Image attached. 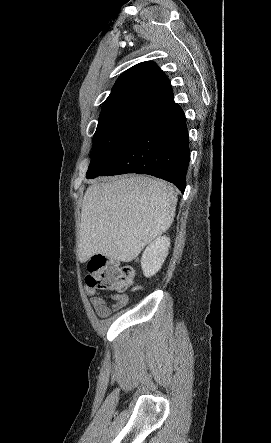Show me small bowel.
Returning <instances> with one entry per match:
<instances>
[{"mask_svg": "<svg viewBox=\"0 0 271 443\" xmlns=\"http://www.w3.org/2000/svg\"><path fill=\"white\" fill-rule=\"evenodd\" d=\"M84 290L87 295L90 296V302L100 318H106L112 314L113 311H117L123 308L127 304V297L124 295H117L114 297V303L109 305L107 301L98 294L96 289L85 285Z\"/></svg>", "mask_w": 271, "mask_h": 443, "instance_id": "obj_1", "label": "small bowel"}]
</instances>
